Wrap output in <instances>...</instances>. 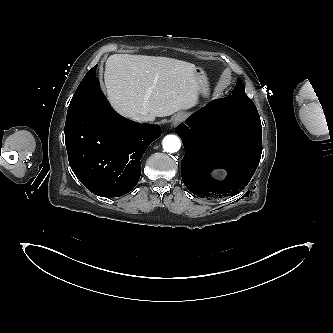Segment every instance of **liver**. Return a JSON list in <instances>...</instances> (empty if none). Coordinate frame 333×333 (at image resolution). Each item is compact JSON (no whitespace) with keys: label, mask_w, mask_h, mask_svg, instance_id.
Wrapping results in <instances>:
<instances>
[{"label":"liver","mask_w":333,"mask_h":333,"mask_svg":"<svg viewBox=\"0 0 333 333\" xmlns=\"http://www.w3.org/2000/svg\"><path fill=\"white\" fill-rule=\"evenodd\" d=\"M197 67L159 56L115 54L105 65L104 81L113 108L127 118L170 116L198 103L202 85Z\"/></svg>","instance_id":"liver-1"}]
</instances>
